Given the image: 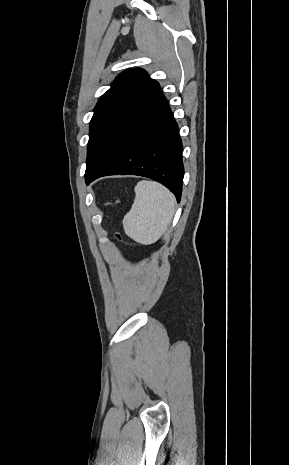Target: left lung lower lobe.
I'll list each match as a JSON object with an SVG mask.
<instances>
[{
    "label": "left lung lower lobe",
    "mask_w": 289,
    "mask_h": 465,
    "mask_svg": "<svg viewBox=\"0 0 289 465\" xmlns=\"http://www.w3.org/2000/svg\"><path fill=\"white\" fill-rule=\"evenodd\" d=\"M114 174L156 180L180 201L184 176L182 142L177 123L160 91L143 108L117 145L86 177V183Z\"/></svg>",
    "instance_id": "obj_1"
}]
</instances>
